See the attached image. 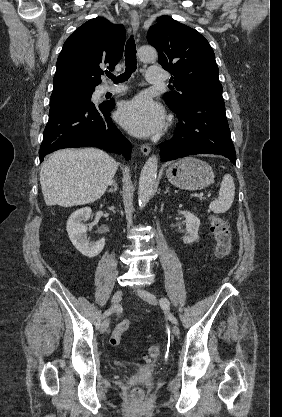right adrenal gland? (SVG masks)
<instances>
[{"label": "right adrenal gland", "mask_w": 282, "mask_h": 417, "mask_svg": "<svg viewBox=\"0 0 282 417\" xmlns=\"http://www.w3.org/2000/svg\"><path fill=\"white\" fill-rule=\"evenodd\" d=\"M110 186H111V188H109V190H107V192H116L117 182H116V180H114V178H113V180H111Z\"/></svg>", "instance_id": "2a0ac1e0"}]
</instances>
